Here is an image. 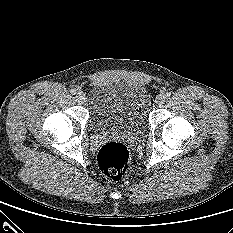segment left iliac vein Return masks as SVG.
Returning <instances> with one entry per match:
<instances>
[{
	"instance_id": "4c4485c4",
	"label": "left iliac vein",
	"mask_w": 233,
	"mask_h": 233,
	"mask_svg": "<svg viewBox=\"0 0 233 233\" xmlns=\"http://www.w3.org/2000/svg\"><path fill=\"white\" fill-rule=\"evenodd\" d=\"M164 101H165V97L163 95H158L155 99V104L157 106H161L163 105Z\"/></svg>"
}]
</instances>
